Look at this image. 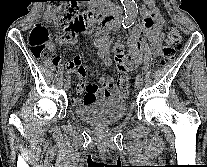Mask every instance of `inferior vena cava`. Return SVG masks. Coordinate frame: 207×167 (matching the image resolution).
<instances>
[{"instance_id": "inferior-vena-cava-1", "label": "inferior vena cava", "mask_w": 207, "mask_h": 167, "mask_svg": "<svg viewBox=\"0 0 207 167\" xmlns=\"http://www.w3.org/2000/svg\"><path fill=\"white\" fill-rule=\"evenodd\" d=\"M107 1L108 0H100V3H101L102 6H106L107 5Z\"/></svg>"}]
</instances>
